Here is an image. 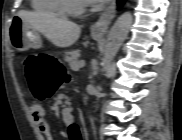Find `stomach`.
<instances>
[{
	"label": "stomach",
	"mask_w": 182,
	"mask_h": 140,
	"mask_svg": "<svg viewBox=\"0 0 182 140\" xmlns=\"http://www.w3.org/2000/svg\"><path fill=\"white\" fill-rule=\"evenodd\" d=\"M9 35L11 44L15 49L27 50L41 46L38 31L32 29L27 21L19 15L12 18ZM92 37L93 39H99L101 36L92 33Z\"/></svg>",
	"instance_id": "0dacf381"
}]
</instances>
